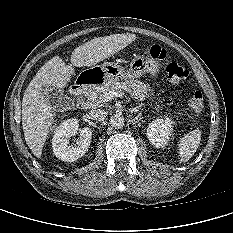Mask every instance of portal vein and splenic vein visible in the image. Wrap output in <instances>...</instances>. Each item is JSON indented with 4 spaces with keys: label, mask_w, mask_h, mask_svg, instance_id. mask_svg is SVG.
<instances>
[{
    "label": "portal vein and splenic vein",
    "mask_w": 233,
    "mask_h": 233,
    "mask_svg": "<svg viewBox=\"0 0 233 233\" xmlns=\"http://www.w3.org/2000/svg\"><path fill=\"white\" fill-rule=\"evenodd\" d=\"M114 97H125L126 99L130 100V98L123 92L119 90H111L109 92H106L103 96L102 99L104 102H108L112 100Z\"/></svg>",
    "instance_id": "1"
}]
</instances>
